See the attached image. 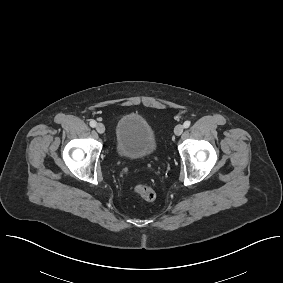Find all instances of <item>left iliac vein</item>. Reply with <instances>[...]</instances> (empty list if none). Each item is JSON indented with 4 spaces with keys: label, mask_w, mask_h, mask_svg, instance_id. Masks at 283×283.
I'll return each mask as SVG.
<instances>
[{
    "label": "left iliac vein",
    "mask_w": 283,
    "mask_h": 283,
    "mask_svg": "<svg viewBox=\"0 0 283 283\" xmlns=\"http://www.w3.org/2000/svg\"><path fill=\"white\" fill-rule=\"evenodd\" d=\"M184 127L181 124H178L175 128H174V133L175 135L179 136L183 133Z\"/></svg>",
    "instance_id": "left-iliac-vein-1"
}]
</instances>
